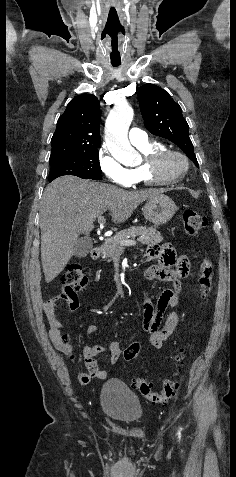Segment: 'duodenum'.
<instances>
[{
  "instance_id": "duodenum-1",
  "label": "duodenum",
  "mask_w": 236,
  "mask_h": 477,
  "mask_svg": "<svg viewBox=\"0 0 236 477\" xmlns=\"http://www.w3.org/2000/svg\"><path fill=\"white\" fill-rule=\"evenodd\" d=\"M100 253H101V246H100V245H97V246H95V247L92 249V251H91V257H92L93 259H97V258L99 257V255H100Z\"/></svg>"
}]
</instances>
